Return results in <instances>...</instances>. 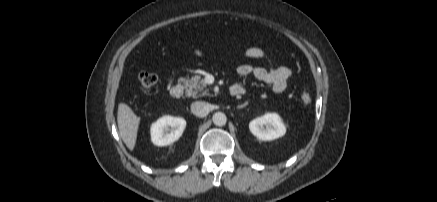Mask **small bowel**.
<instances>
[{"label":"small bowel","instance_id":"c3829d8e","mask_svg":"<svg viewBox=\"0 0 437 202\" xmlns=\"http://www.w3.org/2000/svg\"><path fill=\"white\" fill-rule=\"evenodd\" d=\"M192 53L197 57H202L204 53L199 49H193ZM245 56L249 59H266L267 53L259 47H250L246 50ZM240 77H253L255 80L268 84L272 87L275 93H281L287 88L288 81L292 75L290 68L286 66H277L272 68L254 67L250 64H241L237 68ZM233 87L240 91V94L245 92L243 84L238 83Z\"/></svg>","mask_w":437,"mask_h":202}]
</instances>
